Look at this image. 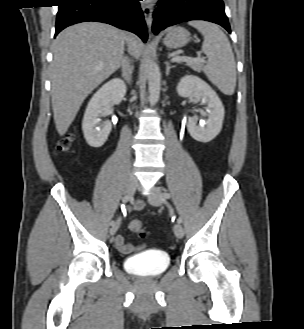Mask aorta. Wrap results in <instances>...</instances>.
<instances>
[{
    "label": "aorta",
    "mask_w": 304,
    "mask_h": 329,
    "mask_svg": "<svg viewBox=\"0 0 304 329\" xmlns=\"http://www.w3.org/2000/svg\"><path fill=\"white\" fill-rule=\"evenodd\" d=\"M160 81L161 75L157 64L151 61L148 64V91H149V103L154 106L160 95Z\"/></svg>",
    "instance_id": "1"
}]
</instances>
